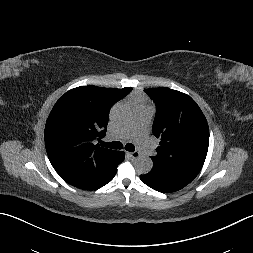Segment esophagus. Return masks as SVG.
Instances as JSON below:
<instances>
[{
	"mask_svg": "<svg viewBox=\"0 0 253 253\" xmlns=\"http://www.w3.org/2000/svg\"><path fill=\"white\" fill-rule=\"evenodd\" d=\"M127 155L133 159L138 158L140 156L139 152H137V151L129 152V153H127Z\"/></svg>",
	"mask_w": 253,
	"mask_h": 253,
	"instance_id": "1",
	"label": "esophagus"
}]
</instances>
